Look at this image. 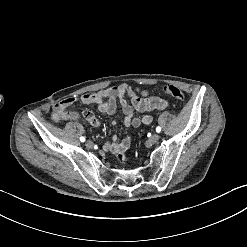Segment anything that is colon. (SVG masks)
I'll list each match as a JSON object with an SVG mask.
<instances>
[{"label": "colon", "instance_id": "1", "mask_svg": "<svg viewBox=\"0 0 247 247\" xmlns=\"http://www.w3.org/2000/svg\"><path fill=\"white\" fill-rule=\"evenodd\" d=\"M162 89L167 95L179 101L184 102L186 100L185 92L182 91L178 86L174 84H165Z\"/></svg>", "mask_w": 247, "mask_h": 247}]
</instances>
